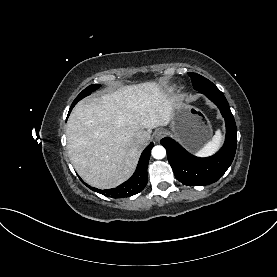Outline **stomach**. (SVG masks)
<instances>
[{
  "instance_id": "1",
  "label": "stomach",
  "mask_w": 277,
  "mask_h": 277,
  "mask_svg": "<svg viewBox=\"0 0 277 277\" xmlns=\"http://www.w3.org/2000/svg\"><path fill=\"white\" fill-rule=\"evenodd\" d=\"M169 134L191 152H197L210 140L212 126L198 108L176 100L171 114Z\"/></svg>"
}]
</instances>
